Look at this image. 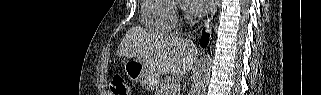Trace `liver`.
<instances>
[{
    "instance_id": "obj_1",
    "label": "liver",
    "mask_w": 321,
    "mask_h": 95,
    "mask_svg": "<svg viewBox=\"0 0 321 95\" xmlns=\"http://www.w3.org/2000/svg\"><path fill=\"white\" fill-rule=\"evenodd\" d=\"M117 54L134 58L157 75L187 74L194 66L198 49L188 39L171 35H155L150 31L133 27L121 41Z\"/></svg>"
}]
</instances>
